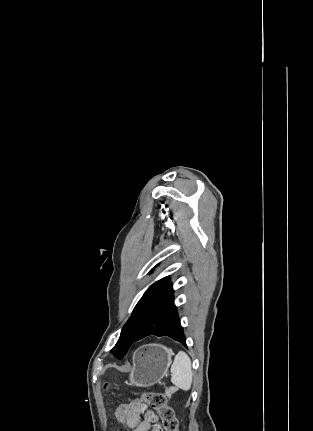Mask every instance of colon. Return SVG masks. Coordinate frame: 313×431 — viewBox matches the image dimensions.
I'll return each mask as SVG.
<instances>
[{"mask_svg": "<svg viewBox=\"0 0 313 431\" xmlns=\"http://www.w3.org/2000/svg\"><path fill=\"white\" fill-rule=\"evenodd\" d=\"M137 403L146 404L156 411L158 421L154 427V431H178V422L174 411L168 405L167 399L163 394L157 392L142 393Z\"/></svg>", "mask_w": 313, "mask_h": 431, "instance_id": "1", "label": "colon"}]
</instances>
